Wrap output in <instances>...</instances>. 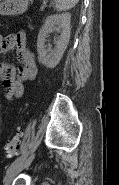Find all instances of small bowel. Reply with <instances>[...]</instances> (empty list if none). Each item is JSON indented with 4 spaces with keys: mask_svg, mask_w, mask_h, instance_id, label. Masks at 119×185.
<instances>
[{
    "mask_svg": "<svg viewBox=\"0 0 119 185\" xmlns=\"http://www.w3.org/2000/svg\"><path fill=\"white\" fill-rule=\"evenodd\" d=\"M12 50L16 51L20 67L17 69L6 63H0L1 82L6 89L9 99L20 98L24 93V84L33 80L38 72V67L32 52L26 46V33L18 31L6 35L0 45V53L6 54ZM8 79V82L6 80Z\"/></svg>",
    "mask_w": 119,
    "mask_h": 185,
    "instance_id": "obj_1",
    "label": "small bowel"
}]
</instances>
